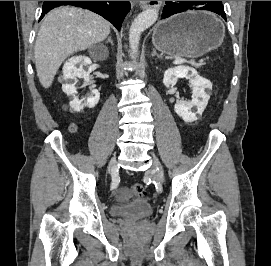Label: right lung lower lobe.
<instances>
[{"label": "right lung lower lobe", "instance_id": "98d812e1", "mask_svg": "<svg viewBox=\"0 0 271 266\" xmlns=\"http://www.w3.org/2000/svg\"><path fill=\"white\" fill-rule=\"evenodd\" d=\"M61 5H73L93 11L110 21L118 30L130 10L129 3L125 1H44L40 20L48 11Z\"/></svg>", "mask_w": 271, "mask_h": 266}]
</instances>
